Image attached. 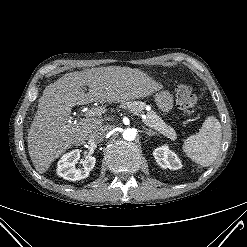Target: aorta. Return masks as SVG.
<instances>
[{
    "instance_id": "762f6f07",
    "label": "aorta",
    "mask_w": 247,
    "mask_h": 247,
    "mask_svg": "<svg viewBox=\"0 0 247 247\" xmlns=\"http://www.w3.org/2000/svg\"><path fill=\"white\" fill-rule=\"evenodd\" d=\"M122 135L125 140L132 141L136 137V132L134 129L127 128L123 131Z\"/></svg>"
}]
</instances>
